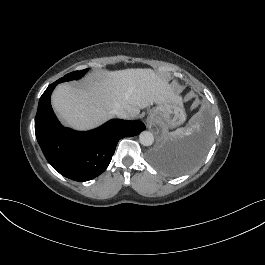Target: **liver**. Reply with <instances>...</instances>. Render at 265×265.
Segmentation results:
<instances>
[{"label": "liver", "mask_w": 265, "mask_h": 265, "mask_svg": "<svg viewBox=\"0 0 265 265\" xmlns=\"http://www.w3.org/2000/svg\"><path fill=\"white\" fill-rule=\"evenodd\" d=\"M85 88L59 84L51 101L66 126L88 130L114 117L116 109H124L133 119L140 109L165 101L182 104L168 82L152 69L102 71L85 78Z\"/></svg>", "instance_id": "liver-1"}]
</instances>
